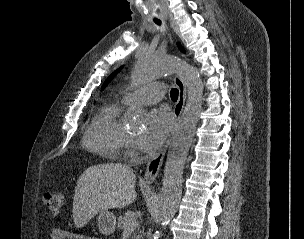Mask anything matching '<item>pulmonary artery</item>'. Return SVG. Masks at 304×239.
Listing matches in <instances>:
<instances>
[{
  "label": "pulmonary artery",
  "mask_w": 304,
  "mask_h": 239,
  "mask_svg": "<svg viewBox=\"0 0 304 239\" xmlns=\"http://www.w3.org/2000/svg\"><path fill=\"white\" fill-rule=\"evenodd\" d=\"M165 90L161 84L146 85L122 97L124 104L151 105L162 100Z\"/></svg>",
  "instance_id": "1"
}]
</instances>
